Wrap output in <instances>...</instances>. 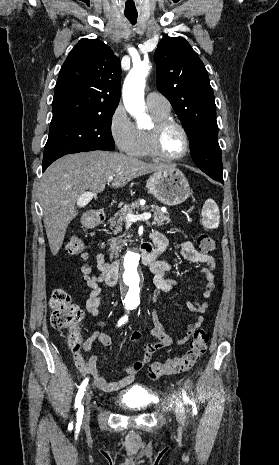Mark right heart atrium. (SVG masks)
<instances>
[{"instance_id":"1","label":"right heart atrium","mask_w":279,"mask_h":465,"mask_svg":"<svg viewBox=\"0 0 279 465\" xmlns=\"http://www.w3.org/2000/svg\"><path fill=\"white\" fill-rule=\"evenodd\" d=\"M108 129L116 147L120 151L128 153L134 143L136 127L122 104H118L113 109L109 118Z\"/></svg>"}]
</instances>
